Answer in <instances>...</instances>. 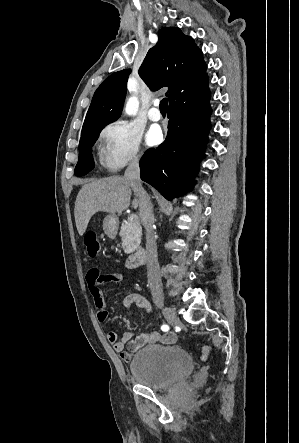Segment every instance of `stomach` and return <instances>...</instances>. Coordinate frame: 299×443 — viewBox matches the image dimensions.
Listing matches in <instances>:
<instances>
[{"instance_id": "1", "label": "stomach", "mask_w": 299, "mask_h": 443, "mask_svg": "<svg viewBox=\"0 0 299 443\" xmlns=\"http://www.w3.org/2000/svg\"><path fill=\"white\" fill-rule=\"evenodd\" d=\"M119 220L115 214H111L105 217L103 221L104 233L111 239H114L117 235Z\"/></svg>"}]
</instances>
